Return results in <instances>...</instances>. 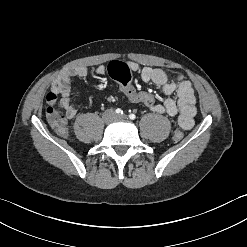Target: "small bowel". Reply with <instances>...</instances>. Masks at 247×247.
Here are the masks:
<instances>
[{"label": "small bowel", "mask_w": 247, "mask_h": 247, "mask_svg": "<svg viewBox=\"0 0 247 247\" xmlns=\"http://www.w3.org/2000/svg\"><path fill=\"white\" fill-rule=\"evenodd\" d=\"M130 72L139 70L136 62L125 63ZM94 73L105 75L107 67L98 66ZM88 69L83 66L71 67L61 73L52 83L51 93L57 96L58 104L64 108L66 118H73L77 109L70 103L71 79L73 77H85ZM140 76L143 82L155 84L162 93L170 95L174 92L177 94V100L168 98L162 104L154 103L149 107L153 112L176 116L179 114L178 122L183 129H190L194 125L196 115V99L191 83L181 75H175L173 80H169L168 74L160 68L144 67L140 70ZM59 96V99H58Z\"/></svg>", "instance_id": "small-bowel-1"}]
</instances>
